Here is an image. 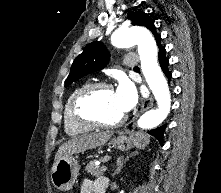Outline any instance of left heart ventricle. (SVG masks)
Returning <instances> with one entry per match:
<instances>
[{"instance_id":"b2bd125f","label":"left heart ventricle","mask_w":221,"mask_h":193,"mask_svg":"<svg viewBox=\"0 0 221 193\" xmlns=\"http://www.w3.org/2000/svg\"><path fill=\"white\" fill-rule=\"evenodd\" d=\"M86 109L108 122H113L124 115L116 101L114 90H102L98 92L87 103Z\"/></svg>"}]
</instances>
